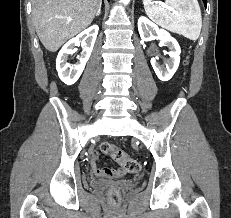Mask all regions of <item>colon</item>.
I'll list each match as a JSON object with an SVG mask.
<instances>
[{
  "label": "colon",
  "instance_id": "1",
  "mask_svg": "<svg viewBox=\"0 0 231 218\" xmlns=\"http://www.w3.org/2000/svg\"><path fill=\"white\" fill-rule=\"evenodd\" d=\"M187 62H185L186 64ZM101 151L109 155L113 160L118 162L122 168L129 173H137L141 169L140 163L127 155L121 148L113 143L105 142L101 145ZM109 200L112 204L117 205L120 202V193L117 189H110L108 192Z\"/></svg>",
  "mask_w": 231,
  "mask_h": 218
}]
</instances>
